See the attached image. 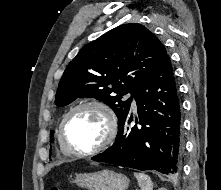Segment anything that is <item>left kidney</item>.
<instances>
[{
	"label": "left kidney",
	"instance_id": "left-kidney-1",
	"mask_svg": "<svg viewBox=\"0 0 221 190\" xmlns=\"http://www.w3.org/2000/svg\"><path fill=\"white\" fill-rule=\"evenodd\" d=\"M158 190H167V189H165V188H160V189H158Z\"/></svg>",
	"mask_w": 221,
	"mask_h": 190
}]
</instances>
